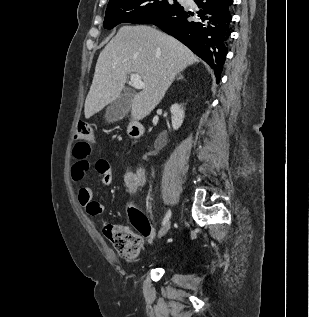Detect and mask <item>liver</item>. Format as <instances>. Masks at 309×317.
I'll use <instances>...</instances> for the list:
<instances>
[{
  "label": "liver",
  "mask_w": 309,
  "mask_h": 317,
  "mask_svg": "<svg viewBox=\"0 0 309 317\" xmlns=\"http://www.w3.org/2000/svg\"><path fill=\"white\" fill-rule=\"evenodd\" d=\"M199 62L177 39L145 25L122 26L100 53L90 91L85 100L88 119L116 100L127 75L141 76L143 90L131 103L134 120L146 117L159 104L175 76Z\"/></svg>",
  "instance_id": "1"
}]
</instances>
